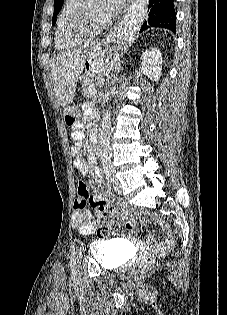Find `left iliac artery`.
<instances>
[{
  "instance_id": "left-iliac-artery-1",
  "label": "left iliac artery",
  "mask_w": 227,
  "mask_h": 315,
  "mask_svg": "<svg viewBox=\"0 0 227 315\" xmlns=\"http://www.w3.org/2000/svg\"><path fill=\"white\" fill-rule=\"evenodd\" d=\"M105 176H106V179H107L108 182H113L114 181L113 170L107 169L105 171ZM76 259H77L76 248H74L72 250L71 257H70V262H69V266H70L72 275H76Z\"/></svg>"
}]
</instances>
